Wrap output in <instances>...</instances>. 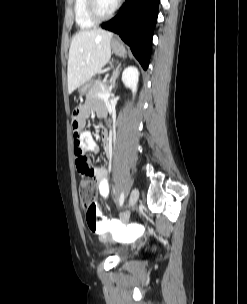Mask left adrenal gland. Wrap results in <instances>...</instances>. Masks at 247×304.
Listing matches in <instances>:
<instances>
[{"mask_svg": "<svg viewBox=\"0 0 247 304\" xmlns=\"http://www.w3.org/2000/svg\"><path fill=\"white\" fill-rule=\"evenodd\" d=\"M120 66H121V64H119V65L116 67V69L113 71V74H112L111 79H110V84H111L110 89L115 88L116 79H117V77L119 76V71H120L119 69H120Z\"/></svg>", "mask_w": 247, "mask_h": 304, "instance_id": "a2214340", "label": "left adrenal gland"}]
</instances>
